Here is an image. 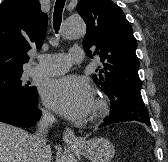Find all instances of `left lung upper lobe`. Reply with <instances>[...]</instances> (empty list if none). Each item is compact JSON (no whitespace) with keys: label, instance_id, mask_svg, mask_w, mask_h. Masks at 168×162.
I'll use <instances>...</instances> for the list:
<instances>
[{"label":"left lung upper lobe","instance_id":"obj_1","mask_svg":"<svg viewBox=\"0 0 168 162\" xmlns=\"http://www.w3.org/2000/svg\"><path fill=\"white\" fill-rule=\"evenodd\" d=\"M77 11L87 25L84 50L103 63L93 75L96 85L106 94L121 89L140 91L137 42L121 8L111 0H81Z\"/></svg>","mask_w":168,"mask_h":162}]
</instances>
